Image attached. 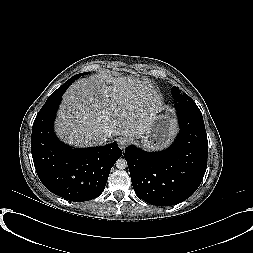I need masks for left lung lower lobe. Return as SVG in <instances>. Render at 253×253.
<instances>
[{
	"label": "left lung lower lobe",
	"mask_w": 253,
	"mask_h": 253,
	"mask_svg": "<svg viewBox=\"0 0 253 253\" xmlns=\"http://www.w3.org/2000/svg\"><path fill=\"white\" fill-rule=\"evenodd\" d=\"M180 133L161 152L125 149L132 185L142 200L170 206L189 198L199 187L207 167L208 141L197 105L176 102Z\"/></svg>",
	"instance_id": "0a47b994"
}]
</instances>
